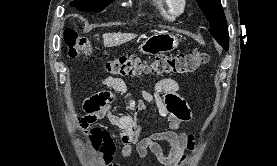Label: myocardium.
Returning <instances> with one entry per match:
<instances>
[{
  "mask_svg": "<svg viewBox=\"0 0 277 166\" xmlns=\"http://www.w3.org/2000/svg\"><path fill=\"white\" fill-rule=\"evenodd\" d=\"M172 10L177 13H183L187 6V0H169Z\"/></svg>",
  "mask_w": 277,
  "mask_h": 166,
  "instance_id": "1",
  "label": "myocardium"
}]
</instances>
